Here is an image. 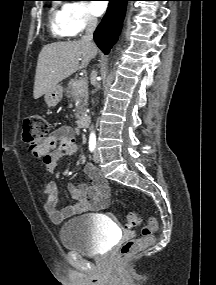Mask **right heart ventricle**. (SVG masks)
I'll return each instance as SVG.
<instances>
[{
	"label": "right heart ventricle",
	"instance_id": "e07e8e85",
	"mask_svg": "<svg viewBox=\"0 0 216 285\" xmlns=\"http://www.w3.org/2000/svg\"><path fill=\"white\" fill-rule=\"evenodd\" d=\"M50 24L51 31L56 37L64 38L72 36V33L67 25L64 6L61 8L51 9Z\"/></svg>",
	"mask_w": 216,
	"mask_h": 285
}]
</instances>
